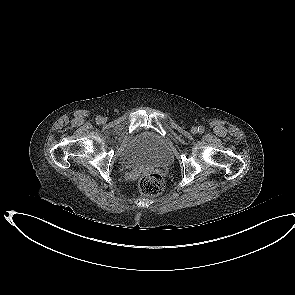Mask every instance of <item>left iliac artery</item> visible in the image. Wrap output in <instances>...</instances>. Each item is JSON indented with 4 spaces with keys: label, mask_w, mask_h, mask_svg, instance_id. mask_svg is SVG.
I'll use <instances>...</instances> for the list:
<instances>
[{
    "label": "left iliac artery",
    "mask_w": 295,
    "mask_h": 295,
    "mask_svg": "<svg viewBox=\"0 0 295 295\" xmlns=\"http://www.w3.org/2000/svg\"><path fill=\"white\" fill-rule=\"evenodd\" d=\"M198 132L199 133H203L204 132V127L203 126H199L198 127Z\"/></svg>",
    "instance_id": "1"
}]
</instances>
